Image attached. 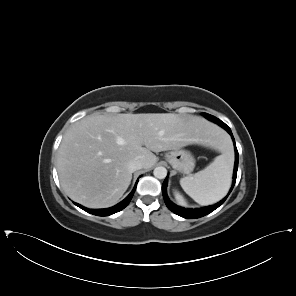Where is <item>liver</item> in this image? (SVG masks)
<instances>
[{"label":"liver","instance_id":"1","mask_svg":"<svg viewBox=\"0 0 296 296\" xmlns=\"http://www.w3.org/2000/svg\"><path fill=\"white\" fill-rule=\"evenodd\" d=\"M220 138L204 118L174 113L90 115L74 123L58 150L57 170L63 191L88 208H106L123 196L138 159L151 168L152 152L187 145L214 146ZM144 146V147H143Z\"/></svg>","mask_w":296,"mask_h":296}]
</instances>
